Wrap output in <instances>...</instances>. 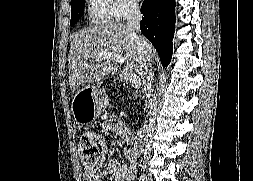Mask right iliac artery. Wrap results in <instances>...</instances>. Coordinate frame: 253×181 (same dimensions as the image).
I'll list each match as a JSON object with an SVG mask.
<instances>
[{
    "instance_id": "1",
    "label": "right iliac artery",
    "mask_w": 253,
    "mask_h": 181,
    "mask_svg": "<svg viewBox=\"0 0 253 181\" xmlns=\"http://www.w3.org/2000/svg\"><path fill=\"white\" fill-rule=\"evenodd\" d=\"M139 181H144V176H140Z\"/></svg>"
}]
</instances>
